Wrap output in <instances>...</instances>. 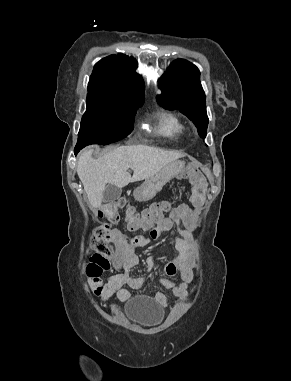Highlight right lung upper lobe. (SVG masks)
I'll return each mask as SVG.
<instances>
[{
	"instance_id": "obj_1",
	"label": "right lung upper lobe",
	"mask_w": 291,
	"mask_h": 381,
	"mask_svg": "<svg viewBox=\"0 0 291 381\" xmlns=\"http://www.w3.org/2000/svg\"><path fill=\"white\" fill-rule=\"evenodd\" d=\"M137 65L133 57L123 54L103 58L94 66L88 95L131 104L143 103L144 85L135 72Z\"/></svg>"
}]
</instances>
